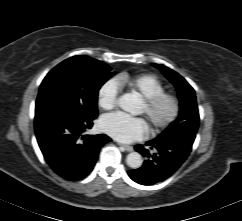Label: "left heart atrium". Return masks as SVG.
Instances as JSON below:
<instances>
[{
  "instance_id": "39dd6f15",
  "label": "left heart atrium",
  "mask_w": 242,
  "mask_h": 221,
  "mask_svg": "<svg viewBox=\"0 0 242 221\" xmlns=\"http://www.w3.org/2000/svg\"><path fill=\"white\" fill-rule=\"evenodd\" d=\"M100 125L106 134L125 143L139 140L147 132V125L143 119L129 117L120 112L103 116Z\"/></svg>"
}]
</instances>
